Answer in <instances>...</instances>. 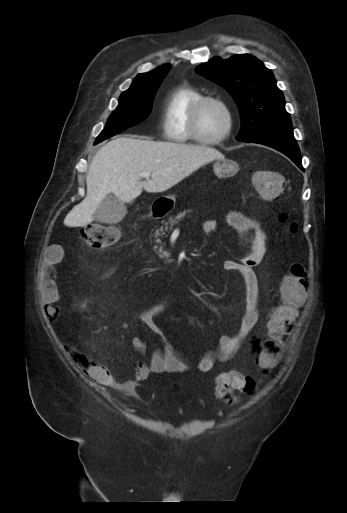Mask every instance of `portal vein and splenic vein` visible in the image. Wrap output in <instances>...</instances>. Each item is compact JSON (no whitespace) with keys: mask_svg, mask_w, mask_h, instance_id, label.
<instances>
[{"mask_svg":"<svg viewBox=\"0 0 347 513\" xmlns=\"http://www.w3.org/2000/svg\"><path fill=\"white\" fill-rule=\"evenodd\" d=\"M140 176L143 177V178L149 179V177L151 176V173H149V172H142L140 174Z\"/></svg>","mask_w":347,"mask_h":513,"instance_id":"obj_1","label":"portal vein and splenic vein"}]
</instances>
